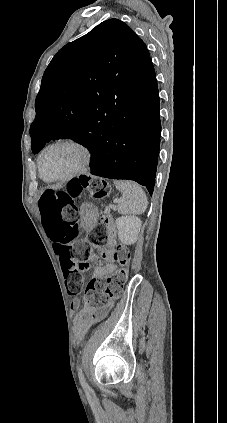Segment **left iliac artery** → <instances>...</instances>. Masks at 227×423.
Wrapping results in <instances>:
<instances>
[{"mask_svg":"<svg viewBox=\"0 0 227 423\" xmlns=\"http://www.w3.org/2000/svg\"><path fill=\"white\" fill-rule=\"evenodd\" d=\"M78 377H79V381L81 383L82 388L85 391L90 390V387H89V385L87 384V382L85 380V377H84V374H83V371H82V367L81 366L78 367Z\"/></svg>","mask_w":227,"mask_h":423,"instance_id":"obj_1","label":"left iliac artery"}]
</instances>
